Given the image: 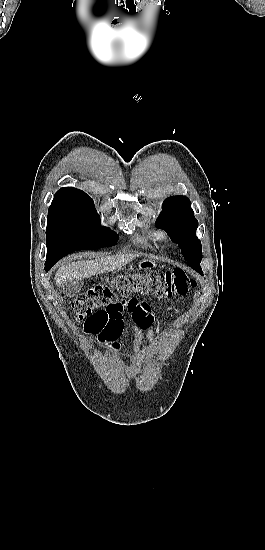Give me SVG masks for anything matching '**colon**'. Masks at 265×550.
<instances>
[{
    "instance_id": "5ec220e1",
    "label": "colon",
    "mask_w": 265,
    "mask_h": 550,
    "mask_svg": "<svg viewBox=\"0 0 265 550\" xmlns=\"http://www.w3.org/2000/svg\"><path fill=\"white\" fill-rule=\"evenodd\" d=\"M196 282L179 268L145 273H123L108 284H95L81 293L72 303L77 321L86 320L88 329L101 338L115 337L120 319L125 311L133 316L134 323L143 328L152 324L134 310L141 306L137 299L126 300L132 295L172 297L188 292ZM151 315V313H150ZM152 316V315H151Z\"/></svg>"
}]
</instances>
